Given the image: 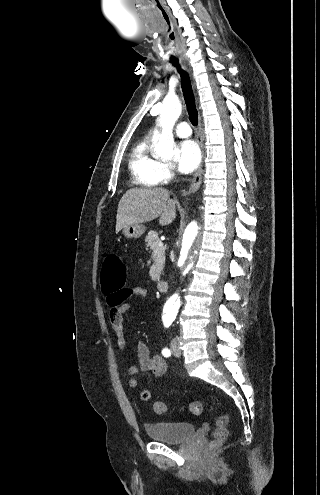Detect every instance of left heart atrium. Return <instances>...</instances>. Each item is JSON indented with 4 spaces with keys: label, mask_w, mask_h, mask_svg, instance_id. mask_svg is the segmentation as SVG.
Returning <instances> with one entry per match:
<instances>
[{
    "label": "left heart atrium",
    "mask_w": 320,
    "mask_h": 495,
    "mask_svg": "<svg viewBox=\"0 0 320 495\" xmlns=\"http://www.w3.org/2000/svg\"><path fill=\"white\" fill-rule=\"evenodd\" d=\"M201 152L193 140L182 141L178 146L177 166L180 172H193L200 164Z\"/></svg>",
    "instance_id": "39dd6f15"
}]
</instances>
